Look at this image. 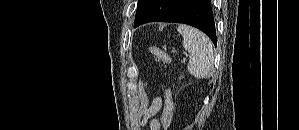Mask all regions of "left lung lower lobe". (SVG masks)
Returning a JSON list of instances; mask_svg holds the SVG:
<instances>
[{
  "instance_id": "obj_1",
  "label": "left lung lower lobe",
  "mask_w": 299,
  "mask_h": 130,
  "mask_svg": "<svg viewBox=\"0 0 299 130\" xmlns=\"http://www.w3.org/2000/svg\"><path fill=\"white\" fill-rule=\"evenodd\" d=\"M149 10L137 27L146 22H178L194 26L217 45L215 23L210 0H150Z\"/></svg>"
}]
</instances>
